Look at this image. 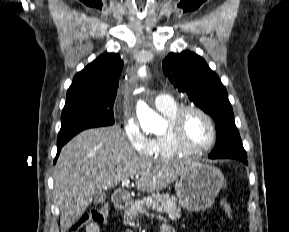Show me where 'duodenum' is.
Masks as SVG:
<instances>
[{"mask_svg": "<svg viewBox=\"0 0 289 232\" xmlns=\"http://www.w3.org/2000/svg\"><path fill=\"white\" fill-rule=\"evenodd\" d=\"M113 204L117 209H123L130 203V196L127 191L118 189L112 198Z\"/></svg>", "mask_w": 289, "mask_h": 232, "instance_id": "obj_1", "label": "duodenum"}]
</instances>
